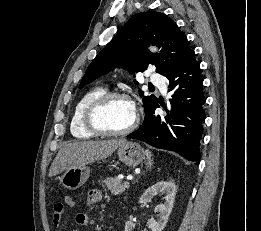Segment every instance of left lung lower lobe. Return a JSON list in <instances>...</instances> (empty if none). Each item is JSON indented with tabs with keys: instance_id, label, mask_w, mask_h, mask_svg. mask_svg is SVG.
Segmentation results:
<instances>
[{
	"instance_id": "1",
	"label": "left lung lower lobe",
	"mask_w": 261,
	"mask_h": 231,
	"mask_svg": "<svg viewBox=\"0 0 261 231\" xmlns=\"http://www.w3.org/2000/svg\"><path fill=\"white\" fill-rule=\"evenodd\" d=\"M173 92L170 107L156 102L145 111L143 124L127 138L144 141L160 149L174 151L199 164L200 144L205 120L203 79L195 54L179 69L166 76ZM159 103L166 115H157Z\"/></svg>"
}]
</instances>
